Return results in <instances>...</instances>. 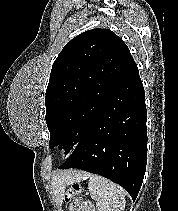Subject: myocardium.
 I'll use <instances>...</instances> for the list:
<instances>
[{
  "label": "myocardium",
  "instance_id": "obj_1",
  "mask_svg": "<svg viewBox=\"0 0 178 211\" xmlns=\"http://www.w3.org/2000/svg\"><path fill=\"white\" fill-rule=\"evenodd\" d=\"M70 147H71V142L69 140H62L58 145V149L61 151H65Z\"/></svg>",
  "mask_w": 178,
  "mask_h": 211
}]
</instances>
